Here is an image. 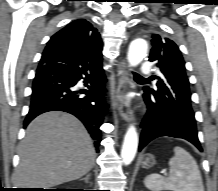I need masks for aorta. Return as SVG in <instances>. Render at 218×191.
<instances>
[{
  "mask_svg": "<svg viewBox=\"0 0 218 191\" xmlns=\"http://www.w3.org/2000/svg\"><path fill=\"white\" fill-rule=\"evenodd\" d=\"M148 44L143 39H135L130 43L127 60L129 65L137 66L147 55ZM138 134L136 128L131 125L124 137V142L121 150V157L125 165H129L137 152Z\"/></svg>",
  "mask_w": 218,
  "mask_h": 191,
  "instance_id": "762f6f07",
  "label": "aorta"
}]
</instances>
